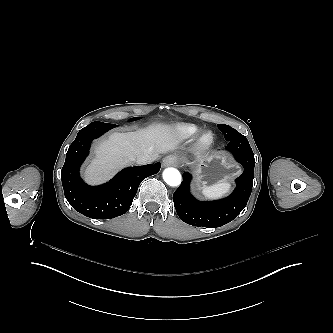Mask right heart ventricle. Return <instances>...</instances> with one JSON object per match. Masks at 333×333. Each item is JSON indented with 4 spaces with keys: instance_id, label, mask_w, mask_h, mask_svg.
<instances>
[{
    "instance_id": "e07e8e85",
    "label": "right heart ventricle",
    "mask_w": 333,
    "mask_h": 333,
    "mask_svg": "<svg viewBox=\"0 0 333 333\" xmlns=\"http://www.w3.org/2000/svg\"><path fill=\"white\" fill-rule=\"evenodd\" d=\"M174 134L182 140L190 139L197 131L198 126L195 124H180L174 128Z\"/></svg>"
}]
</instances>
